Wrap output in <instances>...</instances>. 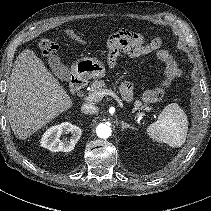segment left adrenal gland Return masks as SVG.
<instances>
[{
    "instance_id": "1",
    "label": "left adrenal gland",
    "mask_w": 211,
    "mask_h": 211,
    "mask_svg": "<svg viewBox=\"0 0 211 211\" xmlns=\"http://www.w3.org/2000/svg\"><path fill=\"white\" fill-rule=\"evenodd\" d=\"M121 125H122V131L129 128V129H135L133 126L129 125L128 123L124 122V121H120Z\"/></svg>"
}]
</instances>
